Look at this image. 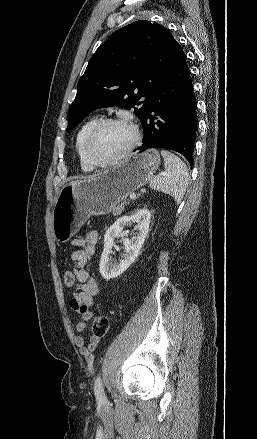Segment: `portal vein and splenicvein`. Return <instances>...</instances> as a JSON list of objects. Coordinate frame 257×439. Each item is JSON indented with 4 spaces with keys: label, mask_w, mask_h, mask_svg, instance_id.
<instances>
[{
    "label": "portal vein and splenic vein",
    "mask_w": 257,
    "mask_h": 439,
    "mask_svg": "<svg viewBox=\"0 0 257 439\" xmlns=\"http://www.w3.org/2000/svg\"><path fill=\"white\" fill-rule=\"evenodd\" d=\"M129 198H130V199H134V198H136V194H134V193L130 194Z\"/></svg>",
    "instance_id": "portal-vein-and-splenic-vein-1"
}]
</instances>
